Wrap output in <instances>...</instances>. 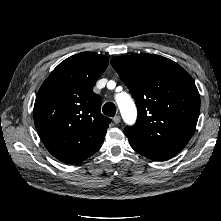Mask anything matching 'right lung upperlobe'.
<instances>
[{
	"instance_id": "1",
	"label": "right lung upper lobe",
	"mask_w": 221,
	"mask_h": 221,
	"mask_svg": "<svg viewBox=\"0 0 221 221\" xmlns=\"http://www.w3.org/2000/svg\"><path fill=\"white\" fill-rule=\"evenodd\" d=\"M108 66L104 55L82 52L61 62L40 87L34 123L47 150L76 164L101 147L111 119L100 112L93 86Z\"/></svg>"
}]
</instances>
